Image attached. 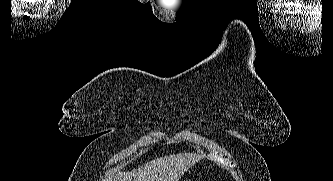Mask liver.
Wrapping results in <instances>:
<instances>
[{
	"label": "liver",
	"instance_id": "liver-1",
	"mask_svg": "<svg viewBox=\"0 0 333 181\" xmlns=\"http://www.w3.org/2000/svg\"><path fill=\"white\" fill-rule=\"evenodd\" d=\"M201 159L192 153L157 158L132 172H118L108 181H179L184 173Z\"/></svg>",
	"mask_w": 333,
	"mask_h": 181
}]
</instances>
